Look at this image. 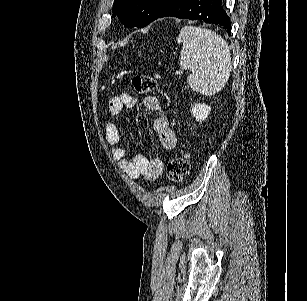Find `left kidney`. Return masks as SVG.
<instances>
[{
	"instance_id": "obj_1",
	"label": "left kidney",
	"mask_w": 307,
	"mask_h": 301,
	"mask_svg": "<svg viewBox=\"0 0 307 301\" xmlns=\"http://www.w3.org/2000/svg\"><path fill=\"white\" fill-rule=\"evenodd\" d=\"M191 112L193 116H195L196 120H199V122H203V120H206L208 114L211 112V106L209 104H205V102H196V104H193L191 106Z\"/></svg>"
}]
</instances>
